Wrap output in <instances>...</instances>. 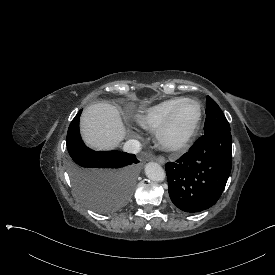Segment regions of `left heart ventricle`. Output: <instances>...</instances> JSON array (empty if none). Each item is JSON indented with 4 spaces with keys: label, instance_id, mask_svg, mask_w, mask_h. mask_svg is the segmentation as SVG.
<instances>
[{
    "label": "left heart ventricle",
    "instance_id": "obj_1",
    "mask_svg": "<svg viewBox=\"0 0 275 275\" xmlns=\"http://www.w3.org/2000/svg\"><path fill=\"white\" fill-rule=\"evenodd\" d=\"M197 115V108L193 103L180 105L174 115V129L177 133H183L189 129Z\"/></svg>",
    "mask_w": 275,
    "mask_h": 275
}]
</instances>
